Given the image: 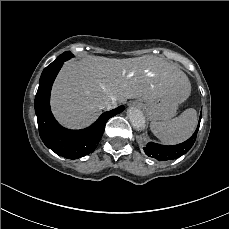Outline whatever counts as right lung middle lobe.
Listing matches in <instances>:
<instances>
[{
    "label": "right lung middle lobe",
    "mask_w": 229,
    "mask_h": 229,
    "mask_svg": "<svg viewBox=\"0 0 229 229\" xmlns=\"http://www.w3.org/2000/svg\"><path fill=\"white\" fill-rule=\"evenodd\" d=\"M71 57H73V55L71 54V52L67 51V52H64L63 54H61L55 61H53L52 63H55L59 60H61L62 58H64V60H68L70 59Z\"/></svg>",
    "instance_id": "obj_1"
}]
</instances>
